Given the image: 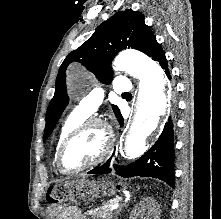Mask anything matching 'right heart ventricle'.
Returning <instances> with one entry per match:
<instances>
[{"label": "right heart ventricle", "mask_w": 221, "mask_h": 219, "mask_svg": "<svg viewBox=\"0 0 221 219\" xmlns=\"http://www.w3.org/2000/svg\"><path fill=\"white\" fill-rule=\"evenodd\" d=\"M86 116L78 113L77 111H73L61 124L60 129L57 134L55 147H54V155H53V161L54 164H56V155L57 151L59 149L60 144L64 140V138L67 136V134L75 128L77 125H79L81 122L86 120Z\"/></svg>", "instance_id": "1"}]
</instances>
